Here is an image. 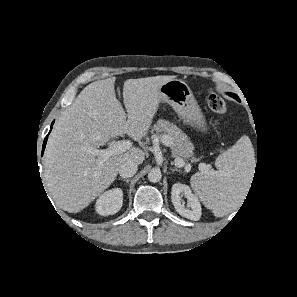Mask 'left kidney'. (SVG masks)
Listing matches in <instances>:
<instances>
[{
	"instance_id": "5707ae66",
	"label": "left kidney",
	"mask_w": 297,
	"mask_h": 297,
	"mask_svg": "<svg viewBox=\"0 0 297 297\" xmlns=\"http://www.w3.org/2000/svg\"><path fill=\"white\" fill-rule=\"evenodd\" d=\"M185 197L188 201V207L186 208L182 202V197ZM171 200L175 207V210L183 217L190 220L197 221L201 217V204L198 197L192 193L189 186L176 183L172 186Z\"/></svg>"
}]
</instances>
